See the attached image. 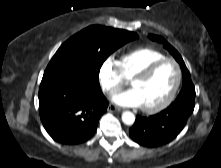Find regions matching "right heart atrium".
<instances>
[{
	"instance_id": "1",
	"label": "right heart atrium",
	"mask_w": 221,
	"mask_h": 168,
	"mask_svg": "<svg viewBox=\"0 0 221 168\" xmlns=\"http://www.w3.org/2000/svg\"><path fill=\"white\" fill-rule=\"evenodd\" d=\"M98 80L105 94L111 96L119 92L125 84L119 61L113 56L105 58L98 70Z\"/></svg>"
}]
</instances>
